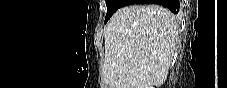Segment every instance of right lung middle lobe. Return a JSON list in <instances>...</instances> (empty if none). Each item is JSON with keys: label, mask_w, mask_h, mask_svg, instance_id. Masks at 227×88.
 Returning a JSON list of instances; mask_svg holds the SVG:
<instances>
[{"label": "right lung middle lobe", "mask_w": 227, "mask_h": 88, "mask_svg": "<svg viewBox=\"0 0 227 88\" xmlns=\"http://www.w3.org/2000/svg\"><path fill=\"white\" fill-rule=\"evenodd\" d=\"M129 0H106L107 14L105 17V23L110 17L121 7L126 6Z\"/></svg>", "instance_id": "dd1d6c3e"}]
</instances>
